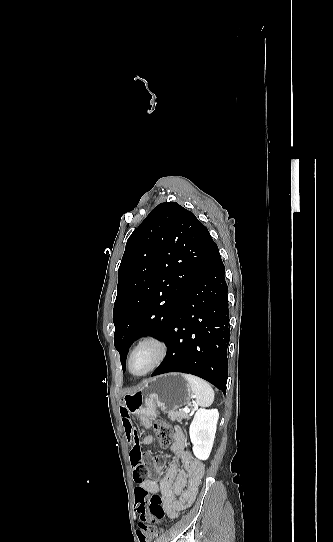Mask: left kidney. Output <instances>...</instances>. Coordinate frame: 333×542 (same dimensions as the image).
Returning a JSON list of instances; mask_svg holds the SVG:
<instances>
[{"label":"left kidney","mask_w":333,"mask_h":542,"mask_svg":"<svg viewBox=\"0 0 333 542\" xmlns=\"http://www.w3.org/2000/svg\"><path fill=\"white\" fill-rule=\"evenodd\" d=\"M218 410H197L189 428L193 454L198 460H208L216 434Z\"/></svg>","instance_id":"left-kidney-1"}]
</instances>
